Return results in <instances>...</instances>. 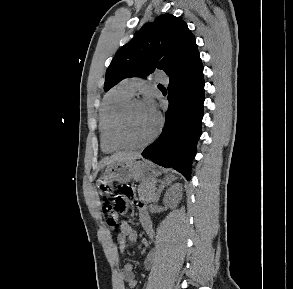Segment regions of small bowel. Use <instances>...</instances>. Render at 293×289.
<instances>
[{
  "label": "small bowel",
  "mask_w": 293,
  "mask_h": 289,
  "mask_svg": "<svg viewBox=\"0 0 293 289\" xmlns=\"http://www.w3.org/2000/svg\"><path fill=\"white\" fill-rule=\"evenodd\" d=\"M139 219L146 235L153 239L155 232L151 226L149 212L146 207H141L139 210ZM137 238V232L128 221H122L120 230L117 235V241L121 252H124L127 247V243L135 241ZM154 252L151 251L146 258L145 266L150 268L154 260ZM121 280L128 284L131 289H135L137 286V279L135 278L134 269L131 264H125L121 270Z\"/></svg>",
  "instance_id": "small-bowel-1"
}]
</instances>
